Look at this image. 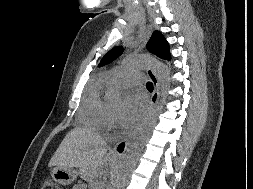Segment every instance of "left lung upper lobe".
<instances>
[{"label":"left lung upper lobe","instance_id":"obj_1","mask_svg":"<svg viewBox=\"0 0 253 189\" xmlns=\"http://www.w3.org/2000/svg\"><path fill=\"white\" fill-rule=\"evenodd\" d=\"M147 49L162 59H170L169 44L163 37V35L155 31L147 43ZM123 52L121 46L115 47L110 50L101 60L100 65L111 62L112 60L119 57Z\"/></svg>","mask_w":253,"mask_h":189}]
</instances>
